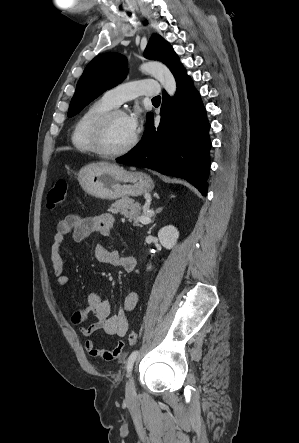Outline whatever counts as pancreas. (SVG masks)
Masks as SVG:
<instances>
[{
    "instance_id": "pancreas-1",
    "label": "pancreas",
    "mask_w": 299,
    "mask_h": 443,
    "mask_svg": "<svg viewBox=\"0 0 299 443\" xmlns=\"http://www.w3.org/2000/svg\"><path fill=\"white\" fill-rule=\"evenodd\" d=\"M109 212L113 214H121L129 221H133L134 226L142 227L140 224V217L145 214L141 213L140 205L135 203L133 199L129 197H123L113 203L108 209Z\"/></svg>"
}]
</instances>
